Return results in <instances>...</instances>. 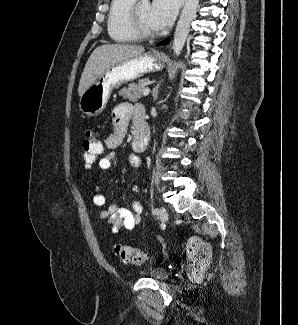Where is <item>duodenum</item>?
I'll return each instance as SVG.
<instances>
[{"label": "duodenum", "mask_w": 298, "mask_h": 325, "mask_svg": "<svg viewBox=\"0 0 298 325\" xmlns=\"http://www.w3.org/2000/svg\"><path fill=\"white\" fill-rule=\"evenodd\" d=\"M133 149L136 152L145 150L150 139V129L145 117V110L142 106H137L133 112Z\"/></svg>", "instance_id": "410a0bca"}]
</instances>
